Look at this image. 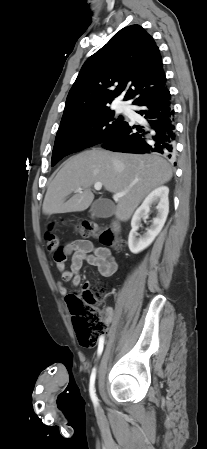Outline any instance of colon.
I'll list each match as a JSON object with an SVG mask.
<instances>
[{
	"instance_id": "colon-1",
	"label": "colon",
	"mask_w": 207,
	"mask_h": 449,
	"mask_svg": "<svg viewBox=\"0 0 207 449\" xmlns=\"http://www.w3.org/2000/svg\"><path fill=\"white\" fill-rule=\"evenodd\" d=\"M75 230L83 237H97L102 243L120 247L119 241L109 229L101 228L91 222H82L74 225ZM44 239L49 251L54 253L57 262L66 260V253L60 246L59 239L54 233V225H48L45 229ZM104 289L95 293L85 286L79 293L70 294L66 301L72 315V323L79 343L82 346L92 347L98 339L108 332V324L101 317L97 306L103 297Z\"/></svg>"
}]
</instances>
